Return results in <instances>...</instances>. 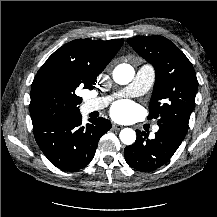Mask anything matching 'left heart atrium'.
<instances>
[{
  "mask_svg": "<svg viewBox=\"0 0 217 217\" xmlns=\"http://www.w3.org/2000/svg\"><path fill=\"white\" fill-rule=\"evenodd\" d=\"M134 106L126 101H120L113 105L111 109L112 115L119 120H125L131 116Z\"/></svg>",
  "mask_w": 217,
  "mask_h": 217,
  "instance_id": "39dd6f15",
  "label": "left heart atrium"
}]
</instances>
